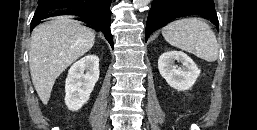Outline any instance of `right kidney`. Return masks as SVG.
<instances>
[{"label":"right kidney","instance_id":"obj_1","mask_svg":"<svg viewBox=\"0 0 257 130\" xmlns=\"http://www.w3.org/2000/svg\"><path fill=\"white\" fill-rule=\"evenodd\" d=\"M99 79V58L89 54L69 69L65 82V104L71 111L79 110L90 98Z\"/></svg>","mask_w":257,"mask_h":130}]
</instances>
